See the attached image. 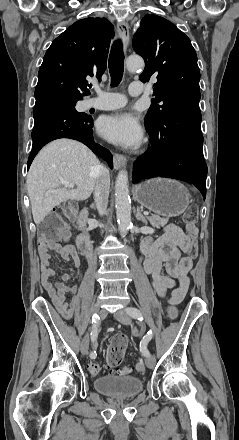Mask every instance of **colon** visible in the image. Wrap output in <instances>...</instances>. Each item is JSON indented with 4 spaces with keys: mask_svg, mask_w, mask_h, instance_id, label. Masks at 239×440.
Returning a JSON list of instances; mask_svg holds the SVG:
<instances>
[{
    "mask_svg": "<svg viewBox=\"0 0 239 440\" xmlns=\"http://www.w3.org/2000/svg\"><path fill=\"white\" fill-rule=\"evenodd\" d=\"M77 207L74 203H67L57 206L53 209V214L49 215L40 226L39 233V246L47 247L51 243L56 241L63 229L64 223L59 217V214L70 217L76 213ZM198 219V207L195 204L188 206L183 215V220L186 224L187 235L192 239V245L189 249V255L191 257H196L198 248L195 243V238L197 235L196 222ZM167 316L174 320L177 316L176 308L170 306L167 310ZM128 340L124 334L115 335L107 348L106 352V370L109 372L117 371L122 374H128L132 371L129 366H122V361L127 348ZM88 369L91 374L98 375L101 373V366L95 362L91 361L88 364ZM135 371L139 374L145 371V363L139 360L135 365Z\"/></svg>",
    "mask_w": 239,
    "mask_h": 440,
    "instance_id": "obj_1",
    "label": "colon"
}]
</instances>
